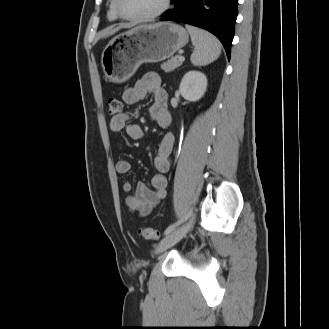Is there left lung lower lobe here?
<instances>
[{"instance_id":"obj_1","label":"left lung lower lobe","mask_w":329,"mask_h":329,"mask_svg":"<svg viewBox=\"0 0 329 329\" xmlns=\"http://www.w3.org/2000/svg\"><path fill=\"white\" fill-rule=\"evenodd\" d=\"M175 8L160 20L184 22L208 30L223 44L227 57L234 36L238 0H172Z\"/></svg>"}]
</instances>
